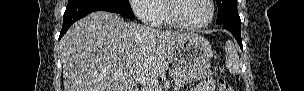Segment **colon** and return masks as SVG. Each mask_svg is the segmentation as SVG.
Wrapping results in <instances>:
<instances>
[{
    "label": "colon",
    "instance_id": "colon-1",
    "mask_svg": "<svg viewBox=\"0 0 304 91\" xmlns=\"http://www.w3.org/2000/svg\"><path fill=\"white\" fill-rule=\"evenodd\" d=\"M218 90L219 91H234L233 87L225 80H218Z\"/></svg>",
    "mask_w": 304,
    "mask_h": 91
}]
</instances>
